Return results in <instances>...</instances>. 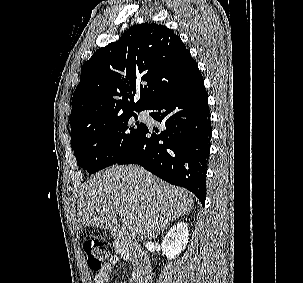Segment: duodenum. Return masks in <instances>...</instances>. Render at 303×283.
Returning <instances> with one entry per match:
<instances>
[{
	"label": "duodenum",
	"mask_w": 303,
	"mask_h": 283,
	"mask_svg": "<svg viewBox=\"0 0 303 283\" xmlns=\"http://www.w3.org/2000/svg\"><path fill=\"white\" fill-rule=\"evenodd\" d=\"M111 233L116 240L124 241L125 232L120 226H114ZM133 255L137 265L136 283H149L152 276V265L149 257L140 250H135Z\"/></svg>",
	"instance_id": "duodenum-1"
}]
</instances>
